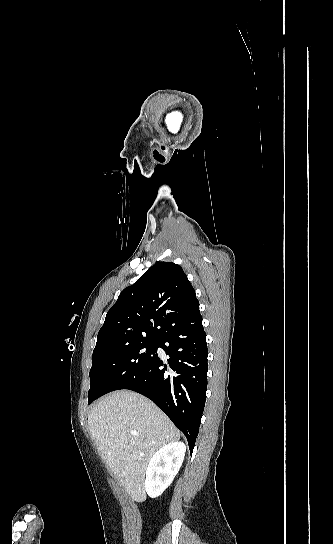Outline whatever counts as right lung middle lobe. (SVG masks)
<instances>
[{"label":"right lung middle lobe","instance_id":"1","mask_svg":"<svg viewBox=\"0 0 333 544\" xmlns=\"http://www.w3.org/2000/svg\"><path fill=\"white\" fill-rule=\"evenodd\" d=\"M159 340L137 339L114 349L93 354L88 404L102 395L122 389L157 357Z\"/></svg>","mask_w":333,"mask_h":544}]
</instances>
